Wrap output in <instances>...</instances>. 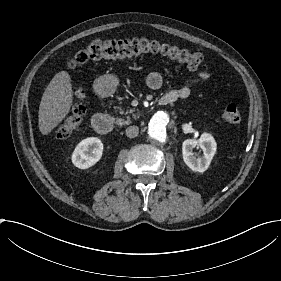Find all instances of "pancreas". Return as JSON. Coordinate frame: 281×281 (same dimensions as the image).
I'll return each mask as SVG.
<instances>
[{
	"instance_id": "1",
	"label": "pancreas",
	"mask_w": 281,
	"mask_h": 281,
	"mask_svg": "<svg viewBox=\"0 0 281 281\" xmlns=\"http://www.w3.org/2000/svg\"><path fill=\"white\" fill-rule=\"evenodd\" d=\"M134 111H135L134 109H130L129 111H127V113L132 114V113H134ZM120 114H124V112L121 111V109H120ZM131 118H133L134 120H137V119H138L137 116L132 115V117H127L126 119H125V118H120V119H118V120L116 121V123H117L118 125H120V126H122V125H128V124H130V119H131Z\"/></svg>"
}]
</instances>
